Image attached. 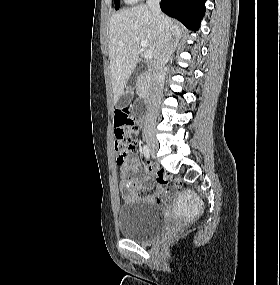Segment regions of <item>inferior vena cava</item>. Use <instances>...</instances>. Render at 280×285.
Listing matches in <instances>:
<instances>
[{
  "instance_id": "inferior-vena-cava-1",
  "label": "inferior vena cava",
  "mask_w": 280,
  "mask_h": 285,
  "mask_svg": "<svg viewBox=\"0 0 280 285\" xmlns=\"http://www.w3.org/2000/svg\"><path fill=\"white\" fill-rule=\"evenodd\" d=\"M151 9L157 30V43L153 65V83L147 101L145 125H154L158 113V106L163 90V80L166 64L172 52V38L165 16L160 9V0H147Z\"/></svg>"
}]
</instances>
